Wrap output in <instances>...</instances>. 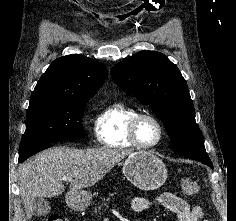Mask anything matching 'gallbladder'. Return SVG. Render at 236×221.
I'll use <instances>...</instances> for the list:
<instances>
[{
	"mask_svg": "<svg viewBox=\"0 0 236 221\" xmlns=\"http://www.w3.org/2000/svg\"><path fill=\"white\" fill-rule=\"evenodd\" d=\"M50 202L43 198L37 197L33 203V214L35 216L41 217L45 216L50 212Z\"/></svg>",
	"mask_w": 236,
	"mask_h": 221,
	"instance_id": "1",
	"label": "gallbladder"
}]
</instances>
